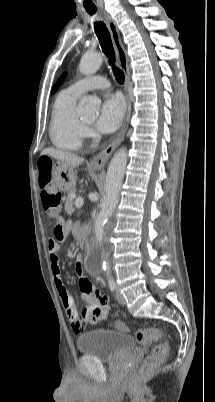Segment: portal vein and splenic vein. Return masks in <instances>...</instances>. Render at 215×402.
<instances>
[{
    "label": "portal vein and splenic vein",
    "instance_id": "obj_1",
    "mask_svg": "<svg viewBox=\"0 0 215 402\" xmlns=\"http://www.w3.org/2000/svg\"><path fill=\"white\" fill-rule=\"evenodd\" d=\"M83 203H84L83 198H77L75 201V206L77 208H81L83 206Z\"/></svg>",
    "mask_w": 215,
    "mask_h": 402
}]
</instances>
